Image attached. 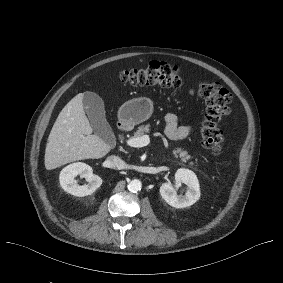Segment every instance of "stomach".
<instances>
[{"label":"stomach","mask_w":283,"mask_h":283,"mask_svg":"<svg viewBox=\"0 0 283 283\" xmlns=\"http://www.w3.org/2000/svg\"><path fill=\"white\" fill-rule=\"evenodd\" d=\"M153 102L145 97L132 99L127 103L124 109L118 113L119 121L125 128L134 127L135 125L146 121L151 117Z\"/></svg>","instance_id":"1"}]
</instances>
